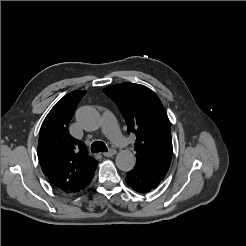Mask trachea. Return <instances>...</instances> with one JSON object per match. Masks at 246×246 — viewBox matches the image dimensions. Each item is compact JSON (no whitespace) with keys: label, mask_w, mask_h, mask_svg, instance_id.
<instances>
[{"label":"trachea","mask_w":246,"mask_h":246,"mask_svg":"<svg viewBox=\"0 0 246 246\" xmlns=\"http://www.w3.org/2000/svg\"><path fill=\"white\" fill-rule=\"evenodd\" d=\"M107 146L102 141H94L91 145V152L98 153V152H107Z\"/></svg>","instance_id":"1"}]
</instances>
